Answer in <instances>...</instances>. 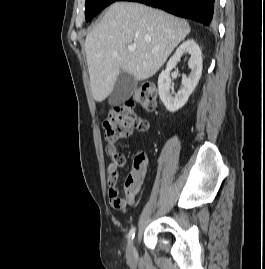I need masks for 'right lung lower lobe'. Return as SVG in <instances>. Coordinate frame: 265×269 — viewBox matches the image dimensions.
I'll return each mask as SVG.
<instances>
[{"label": "right lung lower lobe", "mask_w": 265, "mask_h": 269, "mask_svg": "<svg viewBox=\"0 0 265 269\" xmlns=\"http://www.w3.org/2000/svg\"><path fill=\"white\" fill-rule=\"evenodd\" d=\"M139 2L179 17L209 25L216 13V0H120Z\"/></svg>", "instance_id": "right-lung-lower-lobe-1"}]
</instances>
